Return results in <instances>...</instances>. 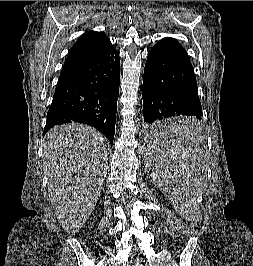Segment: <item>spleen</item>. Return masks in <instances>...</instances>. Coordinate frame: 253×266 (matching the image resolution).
<instances>
[{
	"mask_svg": "<svg viewBox=\"0 0 253 266\" xmlns=\"http://www.w3.org/2000/svg\"><path fill=\"white\" fill-rule=\"evenodd\" d=\"M147 138H142L141 154L145 168L166 187L167 203L175 204L180 214L199 216L197 199L204 179L206 142L199 141L201 123L191 115L158 117L157 123H144ZM185 210V211H184Z\"/></svg>",
	"mask_w": 253,
	"mask_h": 266,
	"instance_id": "1",
	"label": "spleen"
}]
</instances>
